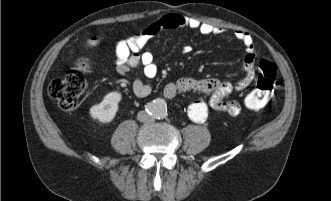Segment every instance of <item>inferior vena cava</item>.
Returning a JSON list of instances; mask_svg holds the SVG:
<instances>
[{
	"label": "inferior vena cava",
	"instance_id": "1",
	"mask_svg": "<svg viewBox=\"0 0 331 201\" xmlns=\"http://www.w3.org/2000/svg\"><path fill=\"white\" fill-rule=\"evenodd\" d=\"M137 119L140 122H152L154 120V117L150 114H148L146 111H140L137 114Z\"/></svg>",
	"mask_w": 331,
	"mask_h": 201
}]
</instances>
